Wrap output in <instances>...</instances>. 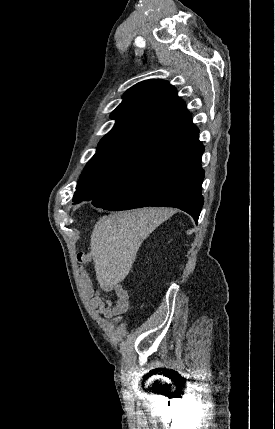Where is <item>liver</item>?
<instances>
[{"mask_svg": "<svg viewBox=\"0 0 275 429\" xmlns=\"http://www.w3.org/2000/svg\"><path fill=\"white\" fill-rule=\"evenodd\" d=\"M171 214L167 208H143L100 218L90 239L96 277L111 290L128 275L142 241Z\"/></svg>", "mask_w": 275, "mask_h": 429, "instance_id": "liver-1", "label": "liver"}]
</instances>
